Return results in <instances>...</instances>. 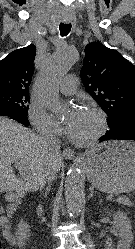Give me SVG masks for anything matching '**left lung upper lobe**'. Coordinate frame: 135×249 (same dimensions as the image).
Instances as JSON below:
<instances>
[{"instance_id":"5c2ea615","label":"left lung upper lobe","mask_w":135,"mask_h":249,"mask_svg":"<svg viewBox=\"0 0 135 249\" xmlns=\"http://www.w3.org/2000/svg\"><path fill=\"white\" fill-rule=\"evenodd\" d=\"M83 84L108 114L109 127L135 113V66L118 51L91 42L85 47Z\"/></svg>"}]
</instances>
